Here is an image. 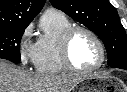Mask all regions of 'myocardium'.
Wrapping results in <instances>:
<instances>
[{"label": "myocardium", "instance_id": "myocardium-1", "mask_svg": "<svg viewBox=\"0 0 127 92\" xmlns=\"http://www.w3.org/2000/svg\"><path fill=\"white\" fill-rule=\"evenodd\" d=\"M79 32H84L90 35L93 38V40L96 42L99 48L100 60L95 66L91 68L80 69V68H77L72 62L71 54H70L71 43H72L73 38ZM60 57H61L63 66L65 67L66 70L72 73H76V74H88V73H91V72H94L100 69L104 65L105 60H106V50H105V46L101 38L91 28L86 27V26H71L64 32L61 38Z\"/></svg>", "mask_w": 127, "mask_h": 92}]
</instances>
